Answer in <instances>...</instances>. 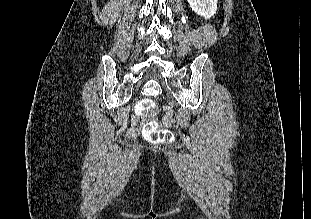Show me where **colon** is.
<instances>
[{"label": "colon", "mask_w": 311, "mask_h": 219, "mask_svg": "<svg viewBox=\"0 0 311 219\" xmlns=\"http://www.w3.org/2000/svg\"><path fill=\"white\" fill-rule=\"evenodd\" d=\"M135 110L138 116L145 118L142 133L146 140L156 144H166L174 141V133L160 125L156 115L157 106L152 99L140 101Z\"/></svg>", "instance_id": "obj_1"}]
</instances>
